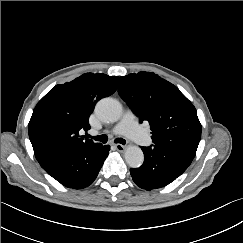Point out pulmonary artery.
<instances>
[{"instance_id": "e3ab8cb5", "label": "pulmonary artery", "mask_w": 243, "mask_h": 243, "mask_svg": "<svg viewBox=\"0 0 243 243\" xmlns=\"http://www.w3.org/2000/svg\"><path fill=\"white\" fill-rule=\"evenodd\" d=\"M111 133L126 135L135 141L146 139L145 132L139 127L131 111L125 113L122 120L113 128Z\"/></svg>"}]
</instances>
